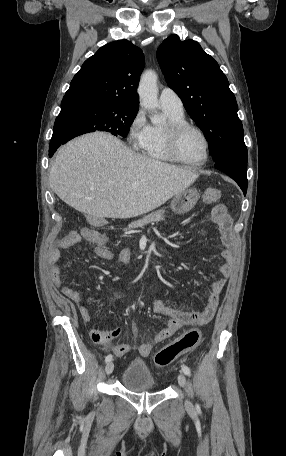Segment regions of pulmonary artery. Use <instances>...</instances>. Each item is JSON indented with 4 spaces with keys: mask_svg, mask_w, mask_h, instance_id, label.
Wrapping results in <instances>:
<instances>
[{
    "mask_svg": "<svg viewBox=\"0 0 286 456\" xmlns=\"http://www.w3.org/2000/svg\"><path fill=\"white\" fill-rule=\"evenodd\" d=\"M160 105L163 109L174 113H183V103L180 97L170 88L162 89L159 97Z\"/></svg>",
    "mask_w": 286,
    "mask_h": 456,
    "instance_id": "e3ab8cb5",
    "label": "pulmonary artery"
}]
</instances>
